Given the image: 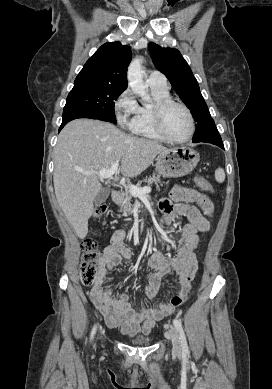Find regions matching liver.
Here are the masks:
<instances>
[{
    "mask_svg": "<svg viewBox=\"0 0 272 389\" xmlns=\"http://www.w3.org/2000/svg\"><path fill=\"white\" fill-rule=\"evenodd\" d=\"M165 150L155 141L128 135L108 122L77 119L68 123L55 147L53 182L57 202L76 235L86 237L93 202L102 189L98 175L85 172L109 169L121 161L118 171L136 177Z\"/></svg>",
    "mask_w": 272,
    "mask_h": 389,
    "instance_id": "liver-1",
    "label": "liver"
}]
</instances>
